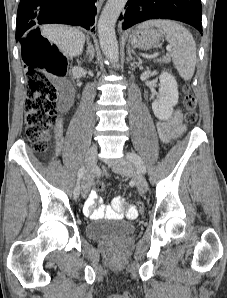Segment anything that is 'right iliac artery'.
Wrapping results in <instances>:
<instances>
[{"label":"right iliac artery","instance_id":"right-iliac-artery-1","mask_svg":"<svg viewBox=\"0 0 227 298\" xmlns=\"http://www.w3.org/2000/svg\"><path fill=\"white\" fill-rule=\"evenodd\" d=\"M84 174H85V167H81L79 169L78 175H77V184H76V187L74 189V198H77L79 196V193H80V180L84 176Z\"/></svg>","mask_w":227,"mask_h":298}]
</instances>
